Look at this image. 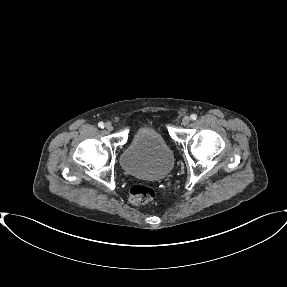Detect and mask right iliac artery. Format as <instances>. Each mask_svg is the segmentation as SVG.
<instances>
[{"label":"right iliac artery","mask_w":287,"mask_h":287,"mask_svg":"<svg viewBox=\"0 0 287 287\" xmlns=\"http://www.w3.org/2000/svg\"><path fill=\"white\" fill-rule=\"evenodd\" d=\"M98 126H99L100 128H104V123H103V122H99V123H98Z\"/></svg>","instance_id":"1"}]
</instances>
